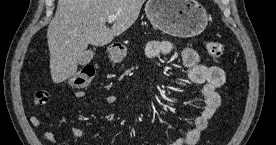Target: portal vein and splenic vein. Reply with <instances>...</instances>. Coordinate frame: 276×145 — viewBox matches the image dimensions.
<instances>
[{
    "label": "portal vein and splenic vein",
    "mask_w": 276,
    "mask_h": 145,
    "mask_svg": "<svg viewBox=\"0 0 276 145\" xmlns=\"http://www.w3.org/2000/svg\"><path fill=\"white\" fill-rule=\"evenodd\" d=\"M117 16L112 15V16H108L107 18V22L108 23H113L116 20Z\"/></svg>",
    "instance_id": "obj_1"
}]
</instances>
